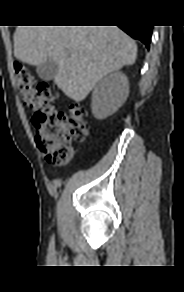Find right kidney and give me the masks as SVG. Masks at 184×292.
Instances as JSON below:
<instances>
[{
    "instance_id": "ca27d5eb",
    "label": "right kidney",
    "mask_w": 184,
    "mask_h": 292,
    "mask_svg": "<svg viewBox=\"0 0 184 292\" xmlns=\"http://www.w3.org/2000/svg\"><path fill=\"white\" fill-rule=\"evenodd\" d=\"M129 94V82L122 72H114L101 79L92 93L91 110L95 118L112 115L125 102Z\"/></svg>"
}]
</instances>
